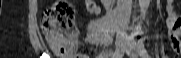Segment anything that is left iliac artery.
<instances>
[{
	"label": "left iliac artery",
	"mask_w": 181,
	"mask_h": 58,
	"mask_svg": "<svg viewBox=\"0 0 181 58\" xmlns=\"http://www.w3.org/2000/svg\"><path fill=\"white\" fill-rule=\"evenodd\" d=\"M137 50H138V53L140 54V56L142 58H150L145 47H144V43H143L142 39L138 41Z\"/></svg>",
	"instance_id": "left-iliac-artery-1"
}]
</instances>
